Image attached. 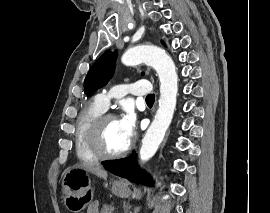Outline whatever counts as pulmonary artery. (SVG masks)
Returning a JSON list of instances; mask_svg holds the SVG:
<instances>
[{"label":"pulmonary artery","mask_w":270,"mask_h":213,"mask_svg":"<svg viewBox=\"0 0 270 213\" xmlns=\"http://www.w3.org/2000/svg\"><path fill=\"white\" fill-rule=\"evenodd\" d=\"M150 91L151 87L149 82L140 80L116 85L110 90L99 93L95 100L101 108L106 110L112 99H119L126 94L137 96L149 95Z\"/></svg>","instance_id":"pulmonary-artery-1"}]
</instances>
